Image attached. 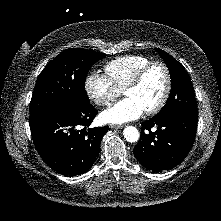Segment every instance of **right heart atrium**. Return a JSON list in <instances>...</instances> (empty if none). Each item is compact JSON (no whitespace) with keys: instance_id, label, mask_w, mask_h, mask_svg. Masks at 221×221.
Segmentation results:
<instances>
[{"instance_id":"1","label":"right heart atrium","mask_w":221,"mask_h":221,"mask_svg":"<svg viewBox=\"0 0 221 221\" xmlns=\"http://www.w3.org/2000/svg\"><path fill=\"white\" fill-rule=\"evenodd\" d=\"M84 87L89 99L102 107L110 106L122 92L107 76L98 72L86 76Z\"/></svg>"}]
</instances>
